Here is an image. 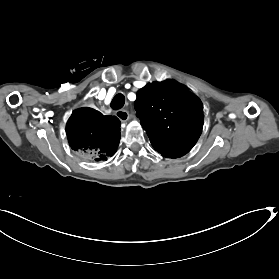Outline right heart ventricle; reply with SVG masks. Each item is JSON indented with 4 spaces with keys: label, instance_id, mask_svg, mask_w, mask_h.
Instances as JSON below:
<instances>
[{
    "label": "right heart ventricle",
    "instance_id": "obj_1",
    "mask_svg": "<svg viewBox=\"0 0 279 279\" xmlns=\"http://www.w3.org/2000/svg\"><path fill=\"white\" fill-rule=\"evenodd\" d=\"M101 58H104V57H99V58H96L95 60H98V59H101ZM128 98H129V96H128ZM130 99V98H129Z\"/></svg>",
    "mask_w": 279,
    "mask_h": 279
}]
</instances>
